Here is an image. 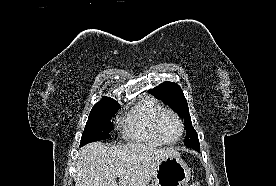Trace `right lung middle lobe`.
<instances>
[{"mask_svg": "<svg viewBox=\"0 0 276 186\" xmlns=\"http://www.w3.org/2000/svg\"><path fill=\"white\" fill-rule=\"evenodd\" d=\"M119 107V103L109 97H103L97 102L90 112L80 146L110 138V132L113 130V124L110 119L118 111Z\"/></svg>", "mask_w": 276, "mask_h": 186, "instance_id": "dd1d6c3e", "label": "right lung middle lobe"}]
</instances>
